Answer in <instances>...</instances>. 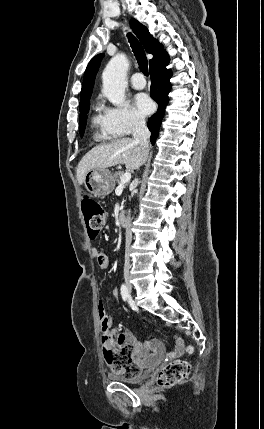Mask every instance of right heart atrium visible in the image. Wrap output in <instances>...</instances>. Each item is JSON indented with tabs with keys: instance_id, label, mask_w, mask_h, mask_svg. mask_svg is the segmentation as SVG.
I'll return each mask as SVG.
<instances>
[{
	"instance_id": "d8ad5b80",
	"label": "right heart atrium",
	"mask_w": 264,
	"mask_h": 429,
	"mask_svg": "<svg viewBox=\"0 0 264 429\" xmlns=\"http://www.w3.org/2000/svg\"><path fill=\"white\" fill-rule=\"evenodd\" d=\"M103 115L109 129L118 137L127 136L144 126V119L126 103L104 106Z\"/></svg>"
}]
</instances>
